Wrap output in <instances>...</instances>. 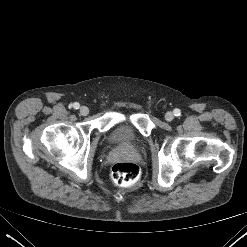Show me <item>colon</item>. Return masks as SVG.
<instances>
[{
	"label": "colon",
	"instance_id": "obj_1",
	"mask_svg": "<svg viewBox=\"0 0 247 247\" xmlns=\"http://www.w3.org/2000/svg\"><path fill=\"white\" fill-rule=\"evenodd\" d=\"M111 174L117 185L129 187L138 182L140 169L132 162H120L113 166Z\"/></svg>",
	"mask_w": 247,
	"mask_h": 247
}]
</instances>
